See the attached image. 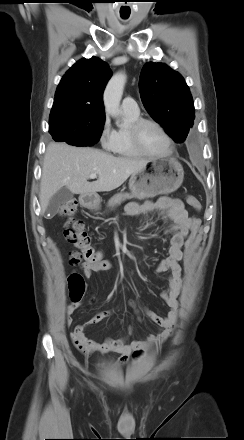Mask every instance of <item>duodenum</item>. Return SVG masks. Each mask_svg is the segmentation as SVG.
Returning a JSON list of instances; mask_svg holds the SVG:
<instances>
[{"instance_id":"410a0bca","label":"duodenum","mask_w":244,"mask_h":440,"mask_svg":"<svg viewBox=\"0 0 244 440\" xmlns=\"http://www.w3.org/2000/svg\"><path fill=\"white\" fill-rule=\"evenodd\" d=\"M91 200H92V199H91L90 197H87V196L82 198V201H83V203H85V204H88Z\"/></svg>"}]
</instances>
